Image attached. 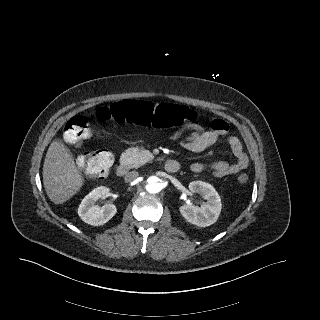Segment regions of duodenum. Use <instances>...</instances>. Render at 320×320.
Instances as JSON below:
<instances>
[{"mask_svg": "<svg viewBox=\"0 0 320 320\" xmlns=\"http://www.w3.org/2000/svg\"><path fill=\"white\" fill-rule=\"evenodd\" d=\"M164 169L168 173H176L180 169V163L174 159H169L164 164ZM129 172V166L126 162H120L117 166V175L124 177Z\"/></svg>", "mask_w": 320, "mask_h": 320, "instance_id": "duodenum-1", "label": "duodenum"}]
</instances>
